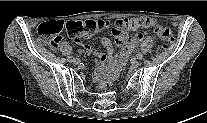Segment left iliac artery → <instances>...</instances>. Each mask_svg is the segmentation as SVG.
Wrapping results in <instances>:
<instances>
[{"mask_svg": "<svg viewBox=\"0 0 207 123\" xmlns=\"http://www.w3.org/2000/svg\"><path fill=\"white\" fill-rule=\"evenodd\" d=\"M136 58L140 60V59L143 58V55H142L141 53H137V54H136Z\"/></svg>", "mask_w": 207, "mask_h": 123, "instance_id": "44dca946", "label": "left iliac artery"}]
</instances>
